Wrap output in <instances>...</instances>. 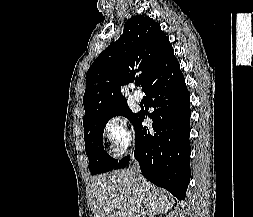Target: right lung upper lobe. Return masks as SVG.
Listing matches in <instances>:
<instances>
[{
  "label": "right lung upper lobe",
  "mask_w": 253,
  "mask_h": 217,
  "mask_svg": "<svg viewBox=\"0 0 253 217\" xmlns=\"http://www.w3.org/2000/svg\"><path fill=\"white\" fill-rule=\"evenodd\" d=\"M169 38L148 16H133L123 34L93 62L86 74L83 123L126 102L121 85L133 82L139 72L143 89L176 63ZM138 79V76L136 77Z\"/></svg>",
  "instance_id": "right-lung-upper-lobe-1"
}]
</instances>
